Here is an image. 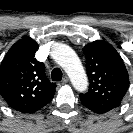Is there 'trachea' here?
Segmentation results:
<instances>
[{
	"label": "trachea",
	"instance_id": "3493384b",
	"mask_svg": "<svg viewBox=\"0 0 133 133\" xmlns=\"http://www.w3.org/2000/svg\"><path fill=\"white\" fill-rule=\"evenodd\" d=\"M51 78L53 81H61L62 71L59 68H54L51 72Z\"/></svg>",
	"mask_w": 133,
	"mask_h": 133
}]
</instances>
